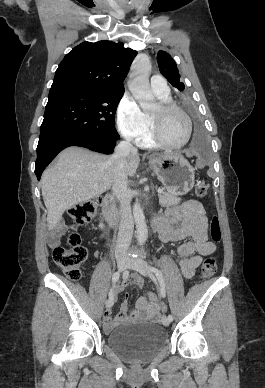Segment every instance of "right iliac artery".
I'll use <instances>...</instances> for the list:
<instances>
[{"label": "right iliac artery", "mask_w": 265, "mask_h": 388, "mask_svg": "<svg viewBox=\"0 0 265 388\" xmlns=\"http://www.w3.org/2000/svg\"><path fill=\"white\" fill-rule=\"evenodd\" d=\"M119 277H120V273L117 271L113 274L112 276V287L109 291V298H113V293H114V285L116 284V282L119 280Z\"/></svg>", "instance_id": "right-iliac-artery-1"}]
</instances>
